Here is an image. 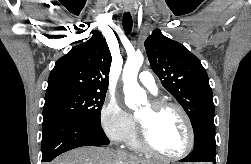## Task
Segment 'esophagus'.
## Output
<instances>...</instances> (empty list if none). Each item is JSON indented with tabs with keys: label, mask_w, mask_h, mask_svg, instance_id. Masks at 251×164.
I'll use <instances>...</instances> for the list:
<instances>
[{
	"label": "esophagus",
	"mask_w": 251,
	"mask_h": 164,
	"mask_svg": "<svg viewBox=\"0 0 251 164\" xmlns=\"http://www.w3.org/2000/svg\"><path fill=\"white\" fill-rule=\"evenodd\" d=\"M131 9H132V7H131V5H130L129 3H126V4L124 5V10H125L126 12H130Z\"/></svg>",
	"instance_id": "34e87169"
}]
</instances>
